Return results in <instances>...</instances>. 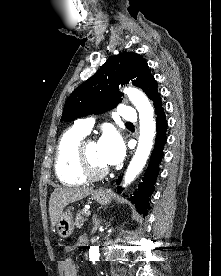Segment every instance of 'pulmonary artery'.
<instances>
[{"label": "pulmonary artery", "instance_id": "e3ab8cb5", "mask_svg": "<svg viewBox=\"0 0 221 276\" xmlns=\"http://www.w3.org/2000/svg\"><path fill=\"white\" fill-rule=\"evenodd\" d=\"M119 116L126 121H135L136 113L132 107L122 105L119 110ZM92 118L79 119L76 121L75 127L85 134H88L93 126Z\"/></svg>", "mask_w": 221, "mask_h": 276}]
</instances>
